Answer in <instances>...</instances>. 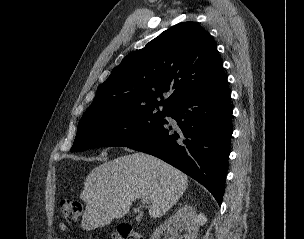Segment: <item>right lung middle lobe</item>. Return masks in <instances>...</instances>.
I'll use <instances>...</instances> for the list:
<instances>
[{"instance_id":"1","label":"right lung middle lobe","mask_w":304,"mask_h":239,"mask_svg":"<svg viewBox=\"0 0 304 239\" xmlns=\"http://www.w3.org/2000/svg\"><path fill=\"white\" fill-rule=\"evenodd\" d=\"M142 105L113 108L82 118L71 151L102 146H128L153 132L163 121L166 108Z\"/></svg>"}]
</instances>
